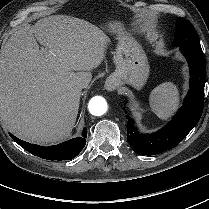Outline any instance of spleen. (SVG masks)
I'll return each mask as SVG.
<instances>
[{
    "label": "spleen",
    "instance_id": "3e777b00",
    "mask_svg": "<svg viewBox=\"0 0 209 209\" xmlns=\"http://www.w3.org/2000/svg\"><path fill=\"white\" fill-rule=\"evenodd\" d=\"M179 91L172 82H164L155 87L149 96L152 111L162 120L168 119L179 106Z\"/></svg>",
    "mask_w": 209,
    "mask_h": 209
}]
</instances>
